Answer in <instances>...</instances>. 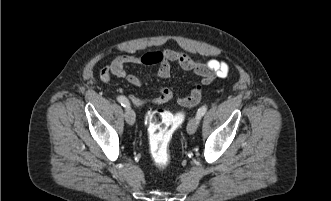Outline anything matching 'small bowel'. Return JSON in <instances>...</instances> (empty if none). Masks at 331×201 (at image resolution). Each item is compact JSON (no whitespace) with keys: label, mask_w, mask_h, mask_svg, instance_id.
<instances>
[{"label":"small bowel","mask_w":331,"mask_h":201,"mask_svg":"<svg viewBox=\"0 0 331 201\" xmlns=\"http://www.w3.org/2000/svg\"><path fill=\"white\" fill-rule=\"evenodd\" d=\"M176 64L185 71H190L201 77L203 84H209L214 78H225L229 73V67L226 62L218 60H209L202 62L194 60L188 55L175 51L166 50L165 52H149L143 55L124 54L117 56L109 66L101 71V78L105 81L111 76L125 78L133 86H141L145 79L157 78L167 79L170 76L171 65ZM129 65L151 66L158 65V71L155 74L142 78L138 75L128 72ZM172 93L168 88H161L159 96L151 100L153 103L162 104L171 99ZM130 100L134 105L140 106L146 101L131 95Z\"/></svg>","instance_id":"small-bowel-1"}]
</instances>
